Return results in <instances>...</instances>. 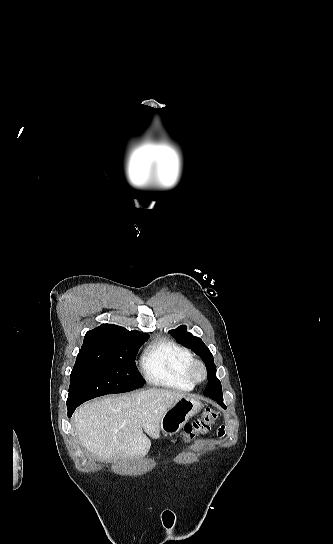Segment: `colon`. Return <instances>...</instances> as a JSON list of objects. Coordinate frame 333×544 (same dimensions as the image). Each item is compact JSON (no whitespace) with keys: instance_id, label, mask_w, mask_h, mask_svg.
Segmentation results:
<instances>
[{"instance_id":"5ec220e1","label":"colon","mask_w":333,"mask_h":544,"mask_svg":"<svg viewBox=\"0 0 333 544\" xmlns=\"http://www.w3.org/2000/svg\"><path fill=\"white\" fill-rule=\"evenodd\" d=\"M219 418V412L212 408L205 409L202 414L192 423L187 424L181 434L183 441H189L207 432L211 425ZM175 442V441H174Z\"/></svg>"}]
</instances>
